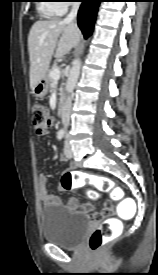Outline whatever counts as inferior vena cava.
Segmentation results:
<instances>
[{"instance_id":"inferior-vena-cava-1","label":"inferior vena cava","mask_w":158,"mask_h":275,"mask_svg":"<svg viewBox=\"0 0 158 275\" xmlns=\"http://www.w3.org/2000/svg\"><path fill=\"white\" fill-rule=\"evenodd\" d=\"M78 9H79V3L76 2V3L73 4L70 13L63 20L64 23H72L76 19V17H77ZM71 106H72V99L69 96L66 99V101H65V103H64V105L62 107V111H61L62 123H63L65 129L69 125Z\"/></svg>"}]
</instances>
